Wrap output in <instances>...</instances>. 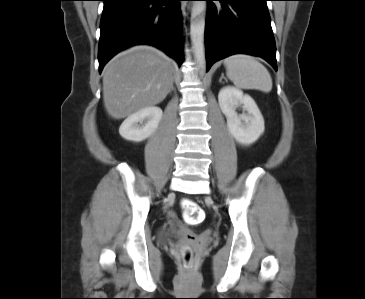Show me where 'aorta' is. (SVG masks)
Wrapping results in <instances>:
<instances>
[{
	"label": "aorta",
	"instance_id": "762f6f07",
	"mask_svg": "<svg viewBox=\"0 0 365 299\" xmlns=\"http://www.w3.org/2000/svg\"><path fill=\"white\" fill-rule=\"evenodd\" d=\"M205 1H195L191 13L190 34L194 56L200 73L203 75L206 68L204 31H205Z\"/></svg>",
	"mask_w": 365,
	"mask_h": 299
}]
</instances>
